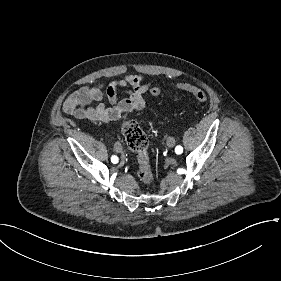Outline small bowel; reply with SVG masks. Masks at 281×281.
Wrapping results in <instances>:
<instances>
[{"instance_id":"obj_1","label":"small bowel","mask_w":281,"mask_h":281,"mask_svg":"<svg viewBox=\"0 0 281 281\" xmlns=\"http://www.w3.org/2000/svg\"><path fill=\"white\" fill-rule=\"evenodd\" d=\"M152 85L140 74H126L121 79L83 86L70 94L63 104V110L80 120L112 123L133 110L145 106L144 95L150 93ZM123 89L127 97L119 99L118 91ZM111 104L107 106L103 100ZM96 102L95 106H89Z\"/></svg>"}]
</instances>
